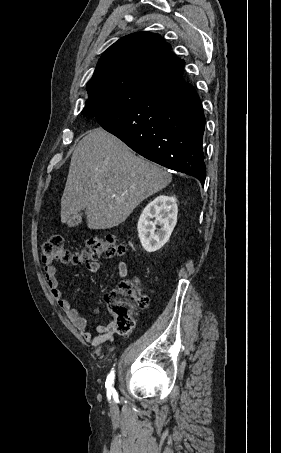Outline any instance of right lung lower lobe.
Listing matches in <instances>:
<instances>
[{
    "instance_id": "98d812e1",
    "label": "right lung lower lobe",
    "mask_w": 281,
    "mask_h": 453,
    "mask_svg": "<svg viewBox=\"0 0 281 453\" xmlns=\"http://www.w3.org/2000/svg\"><path fill=\"white\" fill-rule=\"evenodd\" d=\"M82 114L95 117L102 128L143 157L194 176L204 185L205 116L195 89L183 78Z\"/></svg>"
}]
</instances>
